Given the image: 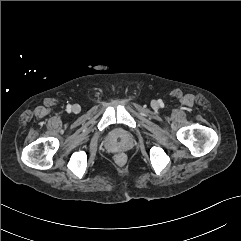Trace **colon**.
I'll return each instance as SVG.
<instances>
[{
  "label": "colon",
  "instance_id": "5ec220e1",
  "mask_svg": "<svg viewBox=\"0 0 241 241\" xmlns=\"http://www.w3.org/2000/svg\"><path fill=\"white\" fill-rule=\"evenodd\" d=\"M117 159H118L119 161H122V160L124 159V155H123V154L117 155Z\"/></svg>",
  "mask_w": 241,
  "mask_h": 241
}]
</instances>
